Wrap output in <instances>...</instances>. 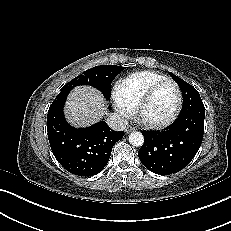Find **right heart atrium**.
<instances>
[{
  "label": "right heart atrium",
  "mask_w": 231,
  "mask_h": 231,
  "mask_svg": "<svg viewBox=\"0 0 231 231\" xmlns=\"http://www.w3.org/2000/svg\"><path fill=\"white\" fill-rule=\"evenodd\" d=\"M114 98H115V106L117 109L118 116L121 118L128 117L131 109L127 105L120 102L115 94H114Z\"/></svg>",
  "instance_id": "d8ad5b80"
}]
</instances>
